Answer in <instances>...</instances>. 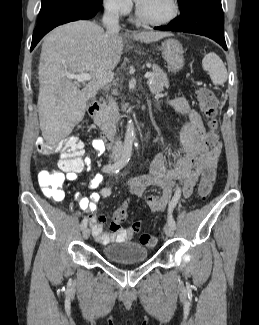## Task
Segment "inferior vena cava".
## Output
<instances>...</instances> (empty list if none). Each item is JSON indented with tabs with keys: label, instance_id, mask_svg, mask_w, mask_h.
<instances>
[{
	"label": "inferior vena cava",
	"instance_id": "inferior-vena-cava-1",
	"mask_svg": "<svg viewBox=\"0 0 259 325\" xmlns=\"http://www.w3.org/2000/svg\"><path fill=\"white\" fill-rule=\"evenodd\" d=\"M102 23L109 31L119 30V14L116 5L112 4L106 7L102 18ZM114 148L116 150L122 149V143L120 139L115 142Z\"/></svg>",
	"mask_w": 259,
	"mask_h": 325
}]
</instances>
